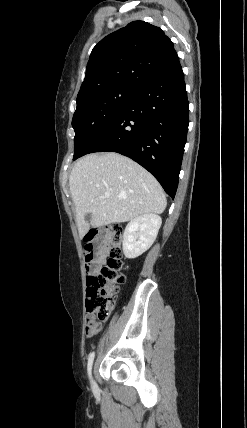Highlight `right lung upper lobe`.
Wrapping results in <instances>:
<instances>
[{
    "instance_id": "1",
    "label": "right lung upper lobe",
    "mask_w": 247,
    "mask_h": 428,
    "mask_svg": "<svg viewBox=\"0 0 247 428\" xmlns=\"http://www.w3.org/2000/svg\"><path fill=\"white\" fill-rule=\"evenodd\" d=\"M178 60L172 41L159 27L132 22L93 48L78 96L114 86L140 90Z\"/></svg>"
}]
</instances>
